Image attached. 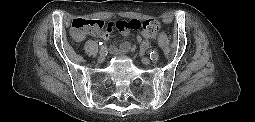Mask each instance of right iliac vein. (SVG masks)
Returning <instances> with one entry per match:
<instances>
[{"instance_id":"1","label":"right iliac vein","mask_w":255,"mask_h":122,"mask_svg":"<svg viewBox=\"0 0 255 122\" xmlns=\"http://www.w3.org/2000/svg\"><path fill=\"white\" fill-rule=\"evenodd\" d=\"M105 57H106V52L100 50V54H99V57H98V62H100V63L103 62L105 60Z\"/></svg>"}]
</instances>
